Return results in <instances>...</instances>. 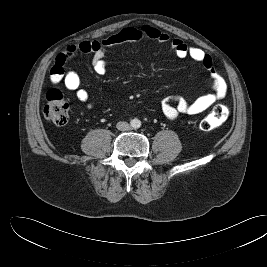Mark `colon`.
<instances>
[{"label": "colon", "instance_id": "colon-1", "mask_svg": "<svg viewBox=\"0 0 267 267\" xmlns=\"http://www.w3.org/2000/svg\"><path fill=\"white\" fill-rule=\"evenodd\" d=\"M45 118L56 126H63L69 118V106L58 89H51L46 95V104L43 109ZM229 116L227 106L216 105L212 111L201 121L203 131H211L224 124Z\"/></svg>", "mask_w": 267, "mask_h": 267}]
</instances>
